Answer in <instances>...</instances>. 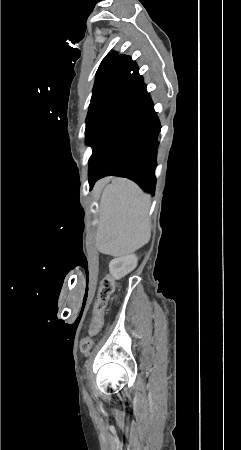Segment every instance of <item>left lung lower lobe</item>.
<instances>
[{
  "label": "left lung lower lobe",
  "instance_id": "1",
  "mask_svg": "<svg viewBox=\"0 0 241 450\" xmlns=\"http://www.w3.org/2000/svg\"><path fill=\"white\" fill-rule=\"evenodd\" d=\"M161 125L137 64L130 59L116 98L95 118L87 141L89 184L105 176L127 177L154 195Z\"/></svg>",
  "mask_w": 241,
  "mask_h": 450
}]
</instances>
